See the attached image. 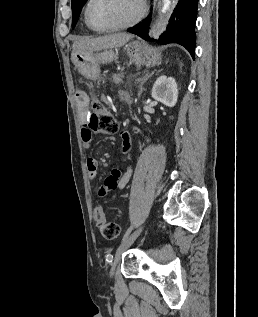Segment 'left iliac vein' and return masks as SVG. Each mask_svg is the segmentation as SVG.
I'll use <instances>...</instances> for the list:
<instances>
[{
  "label": "left iliac vein",
  "instance_id": "left-iliac-vein-1",
  "mask_svg": "<svg viewBox=\"0 0 258 317\" xmlns=\"http://www.w3.org/2000/svg\"><path fill=\"white\" fill-rule=\"evenodd\" d=\"M146 225L148 226L149 224L147 223ZM141 227L139 228L140 230L145 229L143 225ZM139 229L137 230L138 232L137 231L131 232V235H129V237H126L125 240L119 245L118 249L116 250V253H115L116 257L114 258V261H115L117 266L119 265V263L121 261L122 252L126 251L127 248L132 247V243H133L132 240H138V235H136V234L141 233ZM111 274L113 275L114 273L112 272Z\"/></svg>",
  "mask_w": 258,
  "mask_h": 317
}]
</instances>
